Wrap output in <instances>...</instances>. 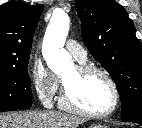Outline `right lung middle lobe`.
<instances>
[{
  "label": "right lung middle lobe",
  "instance_id": "1",
  "mask_svg": "<svg viewBox=\"0 0 142 128\" xmlns=\"http://www.w3.org/2000/svg\"><path fill=\"white\" fill-rule=\"evenodd\" d=\"M27 65L0 69V111L28 109L32 105Z\"/></svg>",
  "mask_w": 142,
  "mask_h": 128
}]
</instances>
